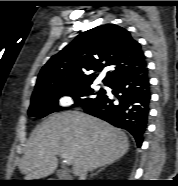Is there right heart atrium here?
Here are the masks:
<instances>
[{"instance_id": "1", "label": "right heart atrium", "mask_w": 178, "mask_h": 186, "mask_svg": "<svg viewBox=\"0 0 178 186\" xmlns=\"http://www.w3.org/2000/svg\"><path fill=\"white\" fill-rule=\"evenodd\" d=\"M76 103V97L72 94H64L58 98L57 105L60 108H68Z\"/></svg>"}]
</instances>
